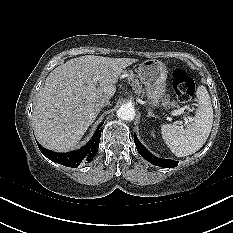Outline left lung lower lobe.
I'll return each instance as SVG.
<instances>
[{"label": "left lung lower lobe", "instance_id": "left-lung-lower-lobe-1", "mask_svg": "<svg viewBox=\"0 0 233 233\" xmlns=\"http://www.w3.org/2000/svg\"><path fill=\"white\" fill-rule=\"evenodd\" d=\"M134 140H135V145L136 148L138 150V152L140 153V155L145 158L147 161H149L150 163H152L153 165H157L160 167H164V168H173L176 167L178 165L177 161H173V160H167V159H160L155 157L154 155H152L138 140L136 134H134Z\"/></svg>", "mask_w": 233, "mask_h": 233}]
</instances>
